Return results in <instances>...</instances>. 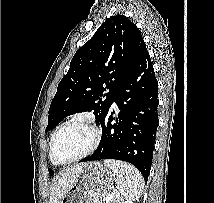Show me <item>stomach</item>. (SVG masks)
<instances>
[{
	"instance_id": "stomach-1",
	"label": "stomach",
	"mask_w": 214,
	"mask_h": 203,
	"mask_svg": "<svg viewBox=\"0 0 214 203\" xmlns=\"http://www.w3.org/2000/svg\"><path fill=\"white\" fill-rule=\"evenodd\" d=\"M115 174L100 162L82 165L74 186L61 203H102L114 187Z\"/></svg>"
}]
</instances>
